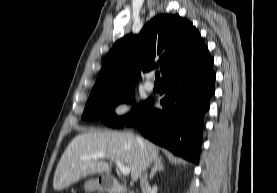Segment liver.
I'll return each mask as SVG.
<instances>
[{
  "label": "liver",
  "instance_id": "6515ba94",
  "mask_svg": "<svg viewBox=\"0 0 277 193\" xmlns=\"http://www.w3.org/2000/svg\"><path fill=\"white\" fill-rule=\"evenodd\" d=\"M103 152L130 168L131 178L137 180L146 168L159 158V147L130 133L91 130L76 136L67 146L57 165L53 188L63 190L91 174L109 176L111 164L89 158Z\"/></svg>",
  "mask_w": 277,
  "mask_h": 193
}]
</instances>
